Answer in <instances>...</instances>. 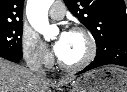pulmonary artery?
Returning <instances> with one entry per match:
<instances>
[{
	"label": "pulmonary artery",
	"instance_id": "1",
	"mask_svg": "<svg viewBox=\"0 0 127 92\" xmlns=\"http://www.w3.org/2000/svg\"><path fill=\"white\" fill-rule=\"evenodd\" d=\"M65 14V6L61 1H54L49 9V15L53 19H61Z\"/></svg>",
	"mask_w": 127,
	"mask_h": 92
}]
</instances>
